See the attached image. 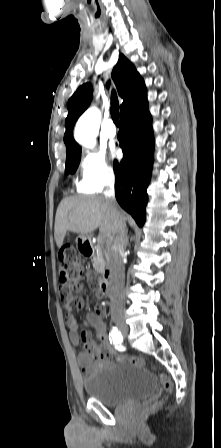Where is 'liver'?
I'll list each match as a JSON object with an SVG mask.
<instances>
[{"label": "liver", "mask_w": 221, "mask_h": 448, "mask_svg": "<svg viewBox=\"0 0 221 448\" xmlns=\"http://www.w3.org/2000/svg\"><path fill=\"white\" fill-rule=\"evenodd\" d=\"M121 214L126 220V214L123 211ZM114 227L115 215L105 197H66L56 212L54 238L58 248H61L67 231L86 235L99 228L110 242Z\"/></svg>", "instance_id": "1"}]
</instances>
